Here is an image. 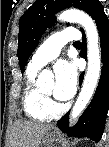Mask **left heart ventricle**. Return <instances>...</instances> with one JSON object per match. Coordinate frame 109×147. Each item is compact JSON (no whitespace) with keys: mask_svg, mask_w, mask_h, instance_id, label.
Listing matches in <instances>:
<instances>
[{"mask_svg":"<svg viewBox=\"0 0 109 147\" xmlns=\"http://www.w3.org/2000/svg\"><path fill=\"white\" fill-rule=\"evenodd\" d=\"M54 82H50L46 87L43 88L44 91L51 93L54 88Z\"/></svg>","mask_w":109,"mask_h":147,"instance_id":"obj_1","label":"left heart ventricle"}]
</instances>
